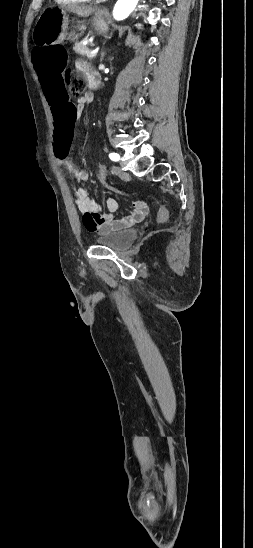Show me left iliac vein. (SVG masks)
I'll list each match as a JSON object with an SVG mask.
<instances>
[{
  "mask_svg": "<svg viewBox=\"0 0 253 548\" xmlns=\"http://www.w3.org/2000/svg\"><path fill=\"white\" fill-rule=\"evenodd\" d=\"M114 173L121 179L126 180L129 178L128 173L122 171L120 167L114 166L113 167Z\"/></svg>",
  "mask_w": 253,
  "mask_h": 548,
  "instance_id": "left-iliac-vein-1",
  "label": "left iliac vein"
}]
</instances>
